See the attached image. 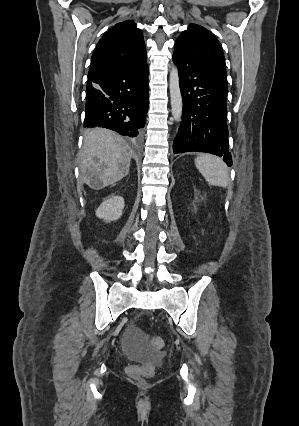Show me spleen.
<instances>
[{
    "label": "spleen",
    "mask_w": 299,
    "mask_h": 426,
    "mask_svg": "<svg viewBox=\"0 0 299 426\" xmlns=\"http://www.w3.org/2000/svg\"><path fill=\"white\" fill-rule=\"evenodd\" d=\"M195 165L209 184L227 187L229 171L222 159L213 155L202 154L195 159Z\"/></svg>",
    "instance_id": "3e777b00"
}]
</instances>
